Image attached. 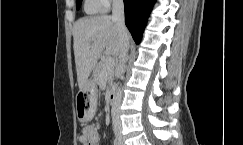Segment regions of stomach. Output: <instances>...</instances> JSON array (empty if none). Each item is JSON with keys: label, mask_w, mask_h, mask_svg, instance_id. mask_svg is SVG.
I'll list each match as a JSON object with an SVG mask.
<instances>
[{"label": "stomach", "mask_w": 243, "mask_h": 145, "mask_svg": "<svg viewBox=\"0 0 243 145\" xmlns=\"http://www.w3.org/2000/svg\"><path fill=\"white\" fill-rule=\"evenodd\" d=\"M97 103V94H95V86L85 84L76 96V113L81 121H88L94 116V107Z\"/></svg>", "instance_id": "0dacf381"}]
</instances>
